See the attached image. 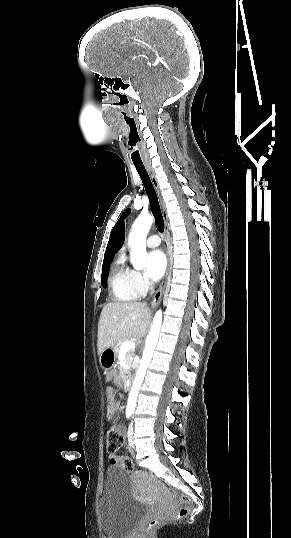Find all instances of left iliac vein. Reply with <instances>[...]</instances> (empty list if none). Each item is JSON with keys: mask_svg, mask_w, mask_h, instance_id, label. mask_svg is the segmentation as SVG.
I'll use <instances>...</instances> for the list:
<instances>
[{"mask_svg": "<svg viewBox=\"0 0 291 538\" xmlns=\"http://www.w3.org/2000/svg\"><path fill=\"white\" fill-rule=\"evenodd\" d=\"M133 433H134V425H133V423H131L130 426H129V429H128V441H129V446L131 448H134V446H135L134 442H133V440H134Z\"/></svg>", "mask_w": 291, "mask_h": 538, "instance_id": "4c4485c4", "label": "left iliac vein"}]
</instances>
